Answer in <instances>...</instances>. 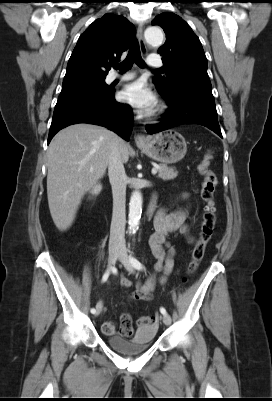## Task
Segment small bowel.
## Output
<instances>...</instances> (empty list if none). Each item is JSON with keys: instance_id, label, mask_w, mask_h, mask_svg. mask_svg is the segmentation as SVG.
Returning <instances> with one entry per match:
<instances>
[{"instance_id": "obj_1", "label": "small bowel", "mask_w": 272, "mask_h": 401, "mask_svg": "<svg viewBox=\"0 0 272 401\" xmlns=\"http://www.w3.org/2000/svg\"><path fill=\"white\" fill-rule=\"evenodd\" d=\"M188 210L180 208L173 212H168L167 207L159 209L155 216V232L149 239V244L154 256L157 258L155 264V273L144 283H137L136 290L132 292L128 298V303L133 301H148L152 298V293L155 289L156 283H164L167 276L171 273L174 260L176 256L175 247L167 240L168 235L173 233L184 234L190 243L195 242V238L190 234V229L186 223ZM159 274V275H158ZM121 286L130 288L132 286L131 280L125 276L121 277ZM98 308L102 310V303L97 304ZM154 328V325H139L135 330L132 324V318L129 313L124 311L120 316L119 334L124 337H132L143 329ZM117 331L116 323L108 320L103 323V332L107 335L115 334Z\"/></svg>"}]
</instances>
